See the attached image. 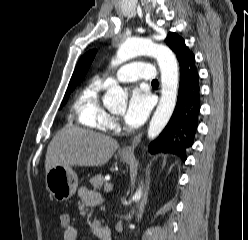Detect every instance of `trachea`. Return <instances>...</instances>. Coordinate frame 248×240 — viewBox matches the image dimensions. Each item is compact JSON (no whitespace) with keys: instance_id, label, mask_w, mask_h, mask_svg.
<instances>
[{"instance_id":"1","label":"trachea","mask_w":248,"mask_h":240,"mask_svg":"<svg viewBox=\"0 0 248 240\" xmlns=\"http://www.w3.org/2000/svg\"><path fill=\"white\" fill-rule=\"evenodd\" d=\"M152 84H158V80L157 79L153 80Z\"/></svg>"}]
</instances>
